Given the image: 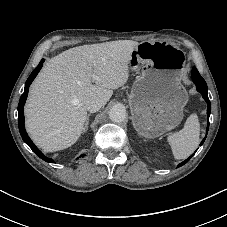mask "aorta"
<instances>
[{
	"label": "aorta",
	"mask_w": 227,
	"mask_h": 227,
	"mask_svg": "<svg viewBox=\"0 0 227 227\" xmlns=\"http://www.w3.org/2000/svg\"><path fill=\"white\" fill-rule=\"evenodd\" d=\"M127 113L123 106L115 105L109 111V118L111 121L119 123L126 119Z\"/></svg>",
	"instance_id": "obj_1"
}]
</instances>
